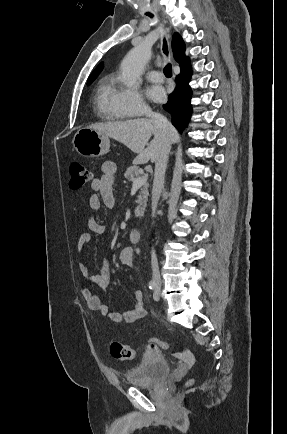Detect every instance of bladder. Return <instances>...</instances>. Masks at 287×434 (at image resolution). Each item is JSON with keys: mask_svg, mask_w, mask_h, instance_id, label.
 <instances>
[{"mask_svg": "<svg viewBox=\"0 0 287 434\" xmlns=\"http://www.w3.org/2000/svg\"><path fill=\"white\" fill-rule=\"evenodd\" d=\"M169 372L170 365L163 354L146 353L143 360L125 374V381L134 387L149 388Z\"/></svg>", "mask_w": 287, "mask_h": 434, "instance_id": "obj_1", "label": "bladder"}]
</instances>
